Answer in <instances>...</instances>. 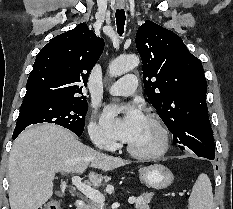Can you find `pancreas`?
<instances>
[{
    "instance_id": "obj_1",
    "label": "pancreas",
    "mask_w": 233,
    "mask_h": 209,
    "mask_svg": "<svg viewBox=\"0 0 233 209\" xmlns=\"http://www.w3.org/2000/svg\"><path fill=\"white\" fill-rule=\"evenodd\" d=\"M153 197V193L144 194L140 197V199L136 202V209H149V203ZM85 209H104V205L100 203H96L94 201H90Z\"/></svg>"
}]
</instances>
